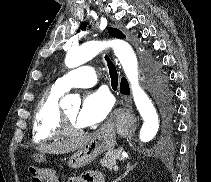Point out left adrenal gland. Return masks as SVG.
<instances>
[{"instance_id":"a2214340","label":"left adrenal gland","mask_w":211,"mask_h":182,"mask_svg":"<svg viewBox=\"0 0 211 182\" xmlns=\"http://www.w3.org/2000/svg\"><path fill=\"white\" fill-rule=\"evenodd\" d=\"M137 163H135L134 165H131V163H127V170L125 171V173L121 176H119L114 182H118L121 181L124 177H126V175H128V173L134 168L136 167Z\"/></svg>"}]
</instances>
